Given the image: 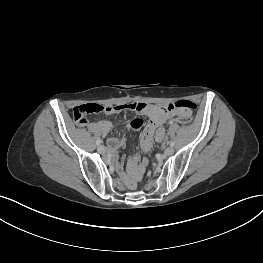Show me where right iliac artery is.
Wrapping results in <instances>:
<instances>
[{"label":"right iliac artery","mask_w":263,"mask_h":263,"mask_svg":"<svg viewBox=\"0 0 263 263\" xmlns=\"http://www.w3.org/2000/svg\"><path fill=\"white\" fill-rule=\"evenodd\" d=\"M100 143H101V139H97L96 144L100 145Z\"/></svg>","instance_id":"obj_1"}]
</instances>
